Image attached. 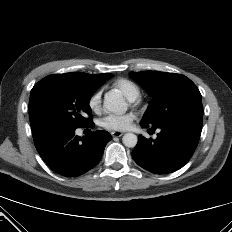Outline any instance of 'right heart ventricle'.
Wrapping results in <instances>:
<instances>
[{
	"mask_svg": "<svg viewBox=\"0 0 232 232\" xmlns=\"http://www.w3.org/2000/svg\"><path fill=\"white\" fill-rule=\"evenodd\" d=\"M112 87L119 90L128 100H135L141 94L139 85L127 78H119L115 80Z\"/></svg>",
	"mask_w": 232,
	"mask_h": 232,
	"instance_id": "e07e8e85",
	"label": "right heart ventricle"
}]
</instances>
